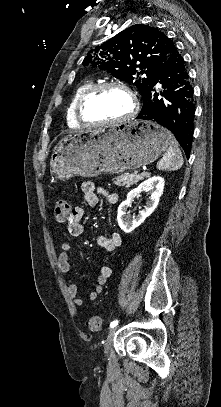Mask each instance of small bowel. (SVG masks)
<instances>
[{
	"instance_id": "small-bowel-1",
	"label": "small bowel",
	"mask_w": 221,
	"mask_h": 407,
	"mask_svg": "<svg viewBox=\"0 0 221 407\" xmlns=\"http://www.w3.org/2000/svg\"><path fill=\"white\" fill-rule=\"evenodd\" d=\"M81 191L83 193V199L89 206L95 207L99 203V195L106 198L107 202L115 206L118 203L119 197L116 193L108 192L104 188H97L93 182H84L81 185ZM83 208L75 207L73 209L72 215L67 222V229L70 235L78 237L83 234L84 227L82 225ZM98 245L102 248L104 253H110L115 250L121 244V237L116 232H111L108 234H101L97 238ZM69 250L70 244L65 241L62 243L61 251L57 257V267L61 273L67 275L70 271V261H69ZM112 274L111 267L109 265H103L100 268L97 284L94 289L89 293V300L94 301L97 296L102 293L103 286L107 283L108 279ZM67 289L70 298L73 303L81 307L83 306V299L79 296L78 287L71 278L66 279Z\"/></svg>"
}]
</instances>
